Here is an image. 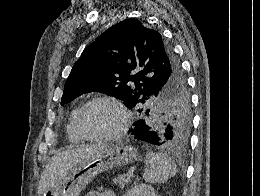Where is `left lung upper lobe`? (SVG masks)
I'll return each mask as SVG.
<instances>
[{"mask_svg":"<svg viewBox=\"0 0 260 196\" xmlns=\"http://www.w3.org/2000/svg\"><path fill=\"white\" fill-rule=\"evenodd\" d=\"M93 91L123 100L126 107L136 106L141 120L159 134V146L187 148L190 97L180 64L159 31L137 19H125L89 45L71 70L61 104ZM152 94V104L144 106Z\"/></svg>","mask_w":260,"mask_h":196,"instance_id":"left-lung-upper-lobe-1","label":"left lung upper lobe"}]
</instances>
